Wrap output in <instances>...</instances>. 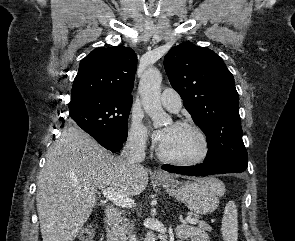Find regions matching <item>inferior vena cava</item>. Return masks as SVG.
<instances>
[{
	"instance_id": "1",
	"label": "inferior vena cava",
	"mask_w": 295,
	"mask_h": 241,
	"mask_svg": "<svg viewBox=\"0 0 295 241\" xmlns=\"http://www.w3.org/2000/svg\"><path fill=\"white\" fill-rule=\"evenodd\" d=\"M121 158L130 169H139L145 159V141L138 137H129L122 151ZM133 229V227H132ZM129 241H137L136 235L129 234Z\"/></svg>"
}]
</instances>
